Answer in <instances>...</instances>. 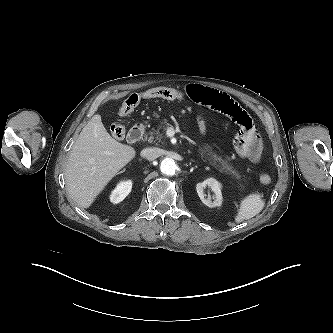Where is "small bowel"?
<instances>
[{
  "mask_svg": "<svg viewBox=\"0 0 333 333\" xmlns=\"http://www.w3.org/2000/svg\"><path fill=\"white\" fill-rule=\"evenodd\" d=\"M184 91L192 101L226 115L240 127L233 141L234 149L239 156L251 162H257L260 159L261 138L252 118L235 100L224 92L199 84H189ZM199 127L201 132H205L203 118H199Z\"/></svg>",
  "mask_w": 333,
  "mask_h": 333,
  "instance_id": "obj_1",
  "label": "small bowel"
}]
</instances>
